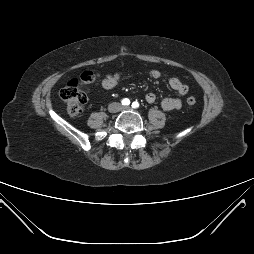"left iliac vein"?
<instances>
[{
    "instance_id": "left-iliac-vein-1",
    "label": "left iliac vein",
    "mask_w": 254,
    "mask_h": 254,
    "mask_svg": "<svg viewBox=\"0 0 254 254\" xmlns=\"http://www.w3.org/2000/svg\"><path fill=\"white\" fill-rule=\"evenodd\" d=\"M120 109H121V110H129L130 107H129V106H124V107H121Z\"/></svg>"
}]
</instances>
